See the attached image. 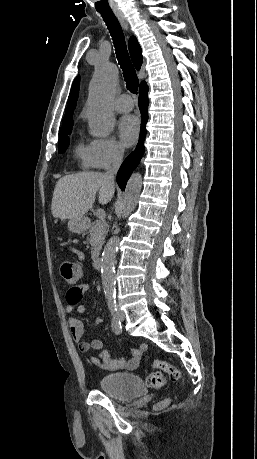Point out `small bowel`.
<instances>
[{"label":"small bowel","mask_w":257,"mask_h":459,"mask_svg":"<svg viewBox=\"0 0 257 459\" xmlns=\"http://www.w3.org/2000/svg\"><path fill=\"white\" fill-rule=\"evenodd\" d=\"M65 246L68 248V253L73 258L74 264H83L84 252L78 246H72L71 240L65 241ZM88 284L82 283L69 288L66 292V312L71 313L76 308L79 314H84L87 307L84 303H80L83 295L88 291ZM68 326L78 349L81 352H87L90 349L96 353L91 356L90 361L94 367L102 368L105 371H116L120 369H134L139 364L143 353L147 350L146 344H141L138 349H134L128 359H112L108 351L103 349L101 339L95 338L91 342L84 339V325L82 321L75 315L68 317Z\"/></svg>","instance_id":"small-bowel-1"}]
</instances>
